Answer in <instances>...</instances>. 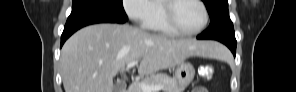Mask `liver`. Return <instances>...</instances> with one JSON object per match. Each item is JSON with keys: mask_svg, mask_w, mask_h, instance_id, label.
Returning <instances> with one entry per match:
<instances>
[{"mask_svg": "<svg viewBox=\"0 0 296 92\" xmlns=\"http://www.w3.org/2000/svg\"><path fill=\"white\" fill-rule=\"evenodd\" d=\"M223 47L212 41L172 40L128 24H96L72 35L61 50L65 92H114L113 78L141 59L140 76L173 68L192 56L215 57Z\"/></svg>", "mask_w": 296, "mask_h": 92, "instance_id": "obj_1", "label": "liver"}]
</instances>
